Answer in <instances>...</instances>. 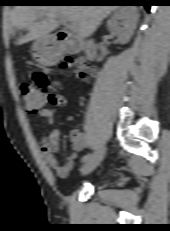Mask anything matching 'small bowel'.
<instances>
[{
    "instance_id": "obj_1",
    "label": "small bowel",
    "mask_w": 170,
    "mask_h": 231,
    "mask_svg": "<svg viewBox=\"0 0 170 231\" xmlns=\"http://www.w3.org/2000/svg\"><path fill=\"white\" fill-rule=\"evenodd\" d=\"M33 81L37 88L43 93L45 99L58 107H63L66 104L64 97L58 92L57 87L53 84L48 75L42 71L33 73ZM38 117L45 119L49 124L55 123V110L43 107L38 113ZM89 146L88 137L83 132H75L73 134V153L70 154L63 165L57 157L60 150V131L54 129L47 136L42 137L41 141V154L45 165L54 169L59 177H66L74 165L77 154Z\"/></svg>"
}]
</instances>
